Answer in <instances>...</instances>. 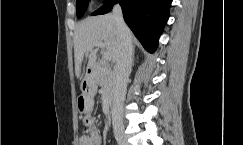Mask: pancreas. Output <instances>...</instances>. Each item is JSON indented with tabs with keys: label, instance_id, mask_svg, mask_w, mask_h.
I'll list each match as a JSON object with an SVG mask.
<instances>
[{
	"label": "pancreas",
	"instance_id": "obj_1",
	"mask_svg": "<svg viewBox=\"0 0 243 145\" xmlns=\"http://www.w3.org/2000/svg\"><path fill=\"white\" fill-rule=\"evenodd\" d=\"M114 71L112 66L103 63L99 70L98 82L105 93H109L113 86Z\"/></svg>",
	"mask_w": 243,
	"mask_h": 145
}]
</instances>
